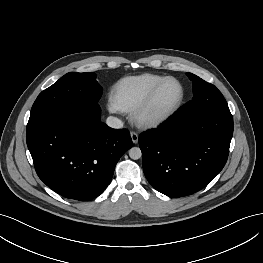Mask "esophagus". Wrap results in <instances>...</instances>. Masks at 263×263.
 <instances>
[{
  "label": "esophagus",
  "instance_id": "1",
  "mask_svg": "<svg viewBox=\"0 0 263 263\" xmlns=\"http://www.w3.org/2000/svg\"><path fill=\"white\" fill-rule=\"evenodd\" d=\"M130 135H131V139H132V142L134 143V144H137L138 143V134L136 133V132H134V131H132L131 133H130Z\"/></svg>",
  "mask_w": 263,
  "mask_h": 263
}]
</instances>
